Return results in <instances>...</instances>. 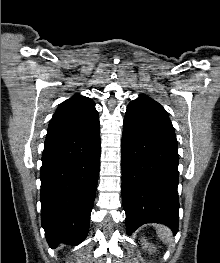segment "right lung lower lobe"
Instances as JSON below:
<instances>
[{"instance_id":"1","label":"right lung lower lobe","mask_w":220,"mask_h":263,"mask_svg":"<svg viewBox=\"0 0 220 263\" xmlns=\"http://www.w3.org/2000/svg\"><path fill=\"white\" fill-rule=\"evenodd\" d=\"M100 162V126L80 138L46 136L42 155V227L49 246L77 245L88 234Z\"/></svg>"}]
</instances>
